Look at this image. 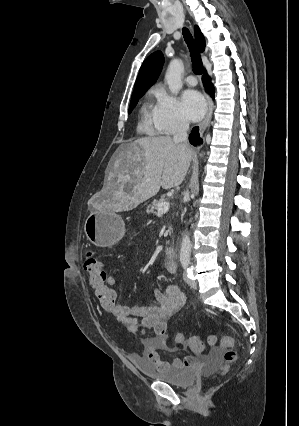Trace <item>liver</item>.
Here are the masks:
<instances>
[{"label":"liver","mask_w":299,"mask_h":426,"mask_svg":"<svg viewBox=\"0 0 299 426\" xmlns=\"http://www.w3.org/2000/svg\"><path fill=\"white\" fill-rule=\"evenodd\" d=\"M192 159L190 148L169 136L145 137L117 150L103 201L114 211H129L156 195L160 188L179 186Z\"/></svg>","instance_id":"obj_1"}]
</instances>
